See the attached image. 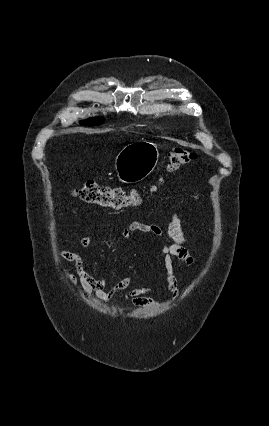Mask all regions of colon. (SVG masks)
I'll return each mask as SVG.
<instances>
[{
	"mask_svg": "<svg viewBox=\"0 0 269 426\" xmlns=\"http://www.w3.org/2000/svg\"><path fill=\"white\" fill-rule=\"evenodd\" d=\"M196 158L197 154L192 150L175 148L169 155L167 171H176L192 163ZM75 195L85 203L115 210L136 206L140 202V196L134 189L103 186L93 181H88L77 188Z\"/></svg>",
	"mask_w": 269,
	"mask_h": 426,
	"instance_id": "colon-1",
	"label": "colon"
}]
</instances>
